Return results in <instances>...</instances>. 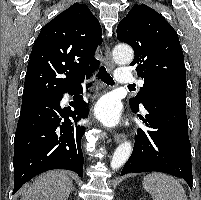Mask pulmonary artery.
Instances as JSON below:
<instances>
[{
  "instance_id": "e3ab8cb5",
  "label": "pulmonary artery",
  "mask_w": 201,
  "mask_h": 200,
  "mask_svg": "<svg viewBox=\"0 0 201 200\" xmlns=\"http://www.w3.org/2000/svg\"><path fill=\"white\" fill-rule=\"evenodd\" d=\"M115 78L120 84H131L136 80L132 71L128 67L124 66L119 68L115 75Z\"/></svg>"
}]
</instances>
